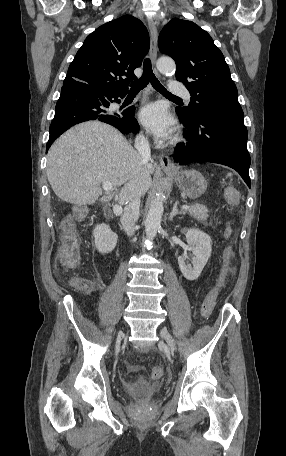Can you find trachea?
I'll list each match as a JSON object with an SVG mask.
<instances>
[{
  "instance_id": "obj_1",
  "label": "trachea",
  "mask_w": 286,
  "mask_h": 456,
  "mask_svg": "<svg viewBox=\"0 0 286 456\" xmlns=\"http://www.w3.org/2000/svg\"><path fill=\"white\" fill-rule=\"evenodd\" d=\"M151 83L153 88L161 93L164 96L180 99L179 97L171 94L166 88L159 82V80L155 77L150 59H145L143 64V74L141 78L131 83L130 92H139L140 90L144 89L148 83Z\"/></svg>"
}]
</instances>
